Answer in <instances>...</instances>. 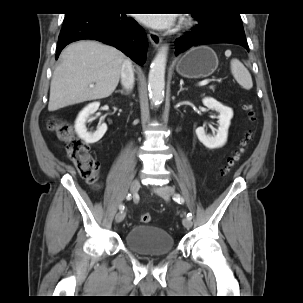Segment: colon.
<instances>
[{"label": "colon", "instance_id": "1", "mask_svg": "<svg viewBox=\"0 0 303 303\" xmlns=\"http://www.w3.org/2000/svg\"><path fill=\"white\" fill-rule=\"evenodd\" d=\"M249 120L254 123L256 121V114L252 105L246 103L244 105ZM48 130L58 134L60 140L63 142L69 158L76 164L80 175L91 185L98 187L99 185V161L90 152L88 145L79 140L75 134L74 129L68 124L64 123L58 117H51L47 124ZM253 138L252 132H248L243 142L246 144ZM240 160V154H236L228 165L222 170L224 175L231 172ZM151 220L150 213H142L140 215V222L148 223Z\"/></svg>", "mask_w": 303, "mask_h": 303}]
</instances>
